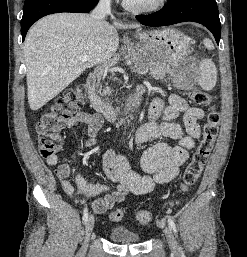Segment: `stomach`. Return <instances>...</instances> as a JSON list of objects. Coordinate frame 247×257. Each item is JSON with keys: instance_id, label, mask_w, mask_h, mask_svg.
<instances>
[{"instance_id": "stomach-1", "label": "stomach", "mask_w": 247, "mask_h": 257, "mask_svg": "<svg viewBox=\"0 0 247 257\" xmlns=\"http://www.w3.org/2000/svg\"><path fill=\"white\" fill-rule=\"evenodd\" d=\"M135 37L138 40L135 58L146 65L169 63L174 66L190 54L188 37L175 29L137 32Z\"/></svg>"}]
</instances>
